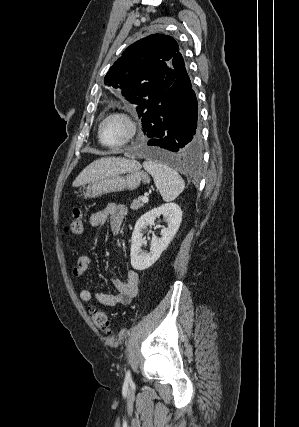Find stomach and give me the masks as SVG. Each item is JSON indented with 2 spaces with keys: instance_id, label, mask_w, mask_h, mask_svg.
I'll use <instances>...</instances> for the list:
<instances>
[{
  "instance_id": "obj_1",
  "label": "stomach",
  "mask_w": 299,
  "mask_h": 427,
  "mask_svg": "<svg viewBox=\"0 0 299 427\" xmlns=\"http://www.w3.org/2000/svg\"><path fill=\"white\" fill-rule=\"evenodd\" d=\"M141 182L147 184L150 182V178L140 168L126 173L114 174L91 182L84 192V197L98 198L109 193L134 190Z\"/></svg>"
}]
</instances>
